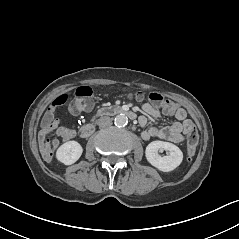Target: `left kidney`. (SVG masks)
Returning <instances> with one entry per match:
<instances>
[{
  "instance_id": "left-kidney-1",
  "label": "left kidney",
  "mask_w": 239,
  "mask_h": 239,
  "mask_svg": "<svg viewBox=\"0 0 239 239\" xmlns=\"http://www.w3.org/2000/svg\"><path fill=\"white\" fill-rule=\"evenodd\" d=\"M163 150L169 151L170 155H158L157 152ZM145 157L147 161L159 171L171 172L182 163L183 152L173 143L153 141L147 145Z\"/></svg>"
}]
</instances>
